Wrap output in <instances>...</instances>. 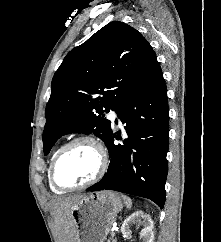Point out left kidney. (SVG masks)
Wrapping results in <instances>:
<instances>
[{
    "mask_svg": "<svg viewBox=\"0 0 221 242\" xmlns=\"http://www.w3.org/2000/svg\"><path fill=\"white\" fill-rule=\"evenodd\" d=\"M140 219L144 220V229H142L140 233V239H142L143 242H153V221L151 220L150 216L145 214L143 211H136L135 213L131 214L128 218H126L122 224L121 232L125 235L130 234L131 224L135 223L136 221H139Z\"/></svg>",
    "mask_w": 221,
    "mask_h": 242,
    "instance_id": "obj_1",
    "label": "left kidney"
}]
</instances>
